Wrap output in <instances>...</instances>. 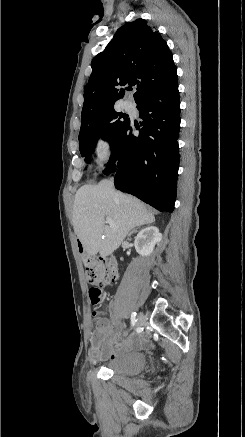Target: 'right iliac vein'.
Segmentation results:
<instances>
[{
  "mask_svg": "<svg viewBox=\"0 0 245 437\" xmlns=\"http://www.w3.org/2000/svg\"><path fill=\"white\" fill-rule=\"evenodd\" d=\"M144 322H145V317L143 313L140 312L137 317V326H141L142 324H144Z\"/></svg>",
  "mask_w": 245,
  "mask_h": 437,
  "instance_id": "1",
  "label": "right iliac vein"
}]
</instances>
